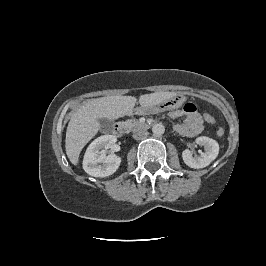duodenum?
<instances>
[{
    "label": "duodenum",
    "mask_w": 266,
    "mask_h": 266,
    "mask_svg": "<svg viewBox=\"0 0 266 266\" xmlns=\"http://www.w3.org/2000/svg\"><path fill=\"white\" fill-rule=\"evenodd\" d=\"M124 129H125V126L123 122H117L115 124L114 130L117 136H122L124 133Z\"/></svg>",
    "instance_id": "1"
}]
</instances>
